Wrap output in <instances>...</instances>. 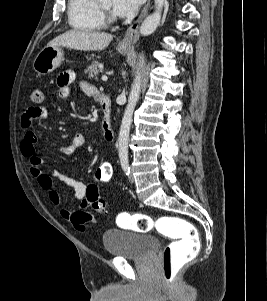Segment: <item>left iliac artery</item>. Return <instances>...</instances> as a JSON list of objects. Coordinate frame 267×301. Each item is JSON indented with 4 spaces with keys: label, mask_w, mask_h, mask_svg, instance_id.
Returning a JSON list of instances; mask_svg holds the SVG:
<instances>
[{
    "label": "left iliac artery",
    "mask_w": 267,
    "mask_h": 301,
    "mask_svg": "<svg viewBox=\"0 0 267 301\" xmlns=\"http://www.w3.org/2000/svg\"><path fill=\"white\" fill-rule=\"evenodd\" d=\"M121 165H122L124 172L128 175L130 173V167H129L128 161H122Z\"/></svg>",
    "instance_id": "obj_1"
}]
</instances>
